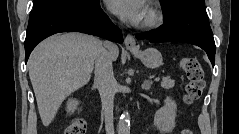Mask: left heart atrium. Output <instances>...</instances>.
I'll use <instances>...</instances> for the list:
<instances>
[{
    "instance_id": "1",
    "label": "left heart atrium",
    "mask_w": 239,
    "mask_h": 134,
    "mask_svg": "<svg viewBox=\"0 0 239 134\" xmlns=\"http://www.w3.org/2000/svg\"><path fill=\"white\" fill-rule=\"evenodd\" d=\"M110 10L124 21L138 24L146 16L147 9L142 0H108Z\"/></svg>"
}]
</instances>
